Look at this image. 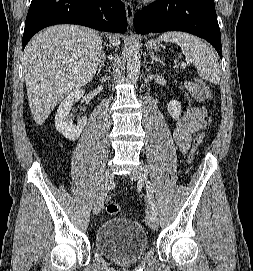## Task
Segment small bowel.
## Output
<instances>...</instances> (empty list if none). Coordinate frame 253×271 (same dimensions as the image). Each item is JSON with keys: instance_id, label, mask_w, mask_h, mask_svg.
I'll return each mask as SVG.
<instances>
[{"instance_id": "obj_1", "label": "small bowel", "mask_w": 253, "mask_h": 271, "mask_svg": "<svg viewBox=\"0 0 253 271\" xmlns=\"http://www.w3.org/2000/svg\"><path fill=\"white\" fill-rule=\"evenodd\" d=\"M187 90L195 101H201L203 95L200 93L196 83H188ZM176 125L172 132V138L182 153H187L192 135L198 131L205 130L206 109L204 107H192L185 114L175 121Z\"/></svg>"}]
</instances>
